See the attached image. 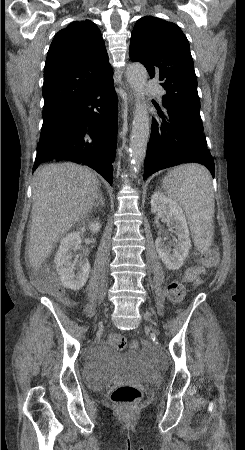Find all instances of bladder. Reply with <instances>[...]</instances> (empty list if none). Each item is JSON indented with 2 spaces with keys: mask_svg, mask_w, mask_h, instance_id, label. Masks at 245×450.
<instances>
[{
  "mask_svg": "<svg viewBox=\"0 0 245 450\" xmlns=\"http://www.w3.org/2000/svg\"><path fill=\"white\" fill-rule=\"evenodd\" d=\"M82 375L87 386L100 390L113 387L124 381L145 383L152 380V373L143 368L132 358H123L104 364L93 360L82 366Z\"/></svg>",
  "mask_w": 245,
  "mask_h": 450,
  "instance_id": "31cf9c89",
  "label": "bladder"
}]
</instances>
